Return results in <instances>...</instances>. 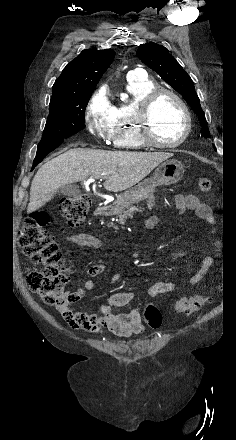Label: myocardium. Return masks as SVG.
<instances>
[{
	"label": "myocardium",
	"mask_w": 236,
	"mask_h": 440,
	"mask_svg": "<svg viewBox=\"0 0 236 440\" xmlns=\"http://www.w3.org/2000/svg\"><path fill=\"white\" fill-rule=\"evenodd\" d=\"M163 95H169L179 104L185 117V129L182 136L169 143H162L158 141L153 135L151 112L154 104L159 97ZM134 119L137 125L138 134L146 146L159 148V149H170L182 145L190 135L192 129V117L190 110L183 100V98L174 90L165 87H155L148 94H146L143 99L137 105L135 110Z\"/></svg>",
	"instance_id": "myocardium-1"
}]
</instances>
